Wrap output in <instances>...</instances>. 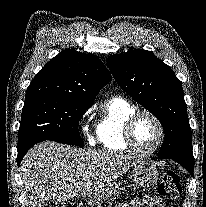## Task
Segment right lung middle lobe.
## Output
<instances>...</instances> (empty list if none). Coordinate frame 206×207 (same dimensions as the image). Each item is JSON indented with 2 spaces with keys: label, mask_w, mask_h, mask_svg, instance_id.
<instances>
[{
  "label": "right lung middle lobe",
  "mask_w": 206,
  "mask_h": 207,
  "mask_svg": "<svg viewBox=\"0 0 206 207\" xmlns=\"http://www.w3.org/2000/svg\"><path fill=\"white\" fill-rule=\"evenodd\" d=\"M90 106L51 97L26 101L18 131V152L44 140L84 146L78 124Z\"/></svg>",
  "instance_id": "right-lung-middle-lobe-1"
}]
</instances>
